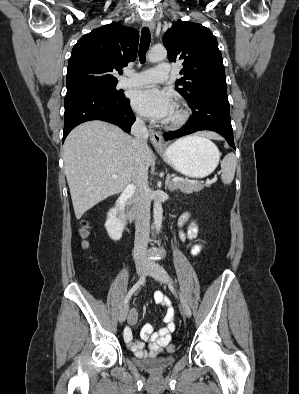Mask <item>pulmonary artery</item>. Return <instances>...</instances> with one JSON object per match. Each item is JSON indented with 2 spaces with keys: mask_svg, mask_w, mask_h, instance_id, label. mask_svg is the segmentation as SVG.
Listing matches in <instances>:
<instances>
[{
  "mask_svg": "<svg viewBox=\"0 0 299 394\" xmlns=\"http://www.w3.org/2000/svg\"><path fill=\"white\" fill-rule=\"evenodd\" d=\"M170 76V65L161 63L154 68L139 73H128L126 78L119 81V88L147 87L155 83L163 82Z\"/></svg>",
  "mask_w": 299,
  "mask_h": 394,
  "instance_id": "1",
  "label": "pulmonary artery"
}]
</instances>
